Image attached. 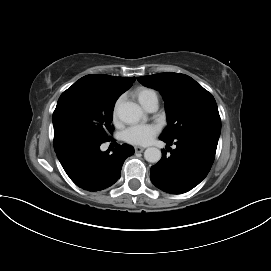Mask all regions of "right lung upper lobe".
Returning a JSON list of instances; mask_svg holds the SVG:
<instances>
[{
    "mask_svg": "<svg viewBox=\"0 0 271 271\" xmlns=\"http://www.w3.org/2000/svg\"><path fill=\"white\" fill-rule=\"evenodd\" d=\"M134 81V77H114L96 74L82 77L72 87L80 86L95 95L119 98L122 93L131 87Z\"/></svg>",
    "mask_w": 271,
    "mask_h": 271,
    "instance_id": "cb5924a9",
    "label": "right lung upper lobe"
}]
</instances>
